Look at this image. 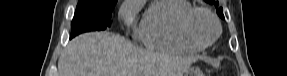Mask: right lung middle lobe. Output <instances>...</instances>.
<instances>
[{"mask_svg":"<svg viewBox=\"0 0 287 76\" xmlns=\"http://www.w3.org/2000/svg\"><path fill=\"white\" fill-rule=\"evenodd\" d=\"M117 0H79L70 38L84 32L105 30L111 25V13Z\"/></svg>","mask_w":287,"mask_h":76,"instance_id":"obj_1","label":"right lung middle lobe"}]
</instances>
